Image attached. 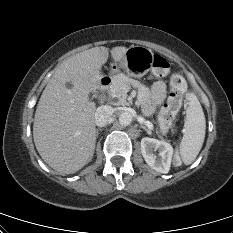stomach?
I'll use <instances>...</instances> for the list:
<instances>
[{
    "instance_id": "obj_1",
    "label": "stomach",
    "mask_w": 233,
    "mask_h": 233,
    "mask_svg": "<svg viewBox=\"0 0 233 233\" xmlns=\"http://www.w3.org/2000/svg\"><path fill=\"white\" fill-rule=\"evenodd\" d=\"M154 54L152 50L143 46H131L119 62L112 65L113 78L115 79L123 70L128 76L141 78L146 75L151 67Z\"/></svg>"
}]
</instances>
